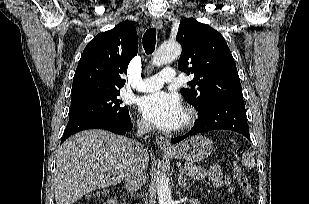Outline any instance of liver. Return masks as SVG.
Returning <instances> with one entry per match:
<instances>
[{"mask_svg":"<svg viewBox=\"0 0 309 204\" xmlns=\"http://www.w3.org/2000/svg\"><path fill=\"white\" fill-rule=\"evenodd\" d=\"M132 156V141L108 131L86 130L70 137L57 150L56 204H74L96 189L121 182Z\"/></svg>","mask_w":309,"mask_h":204,"instance_id":"obj_1","label":"liver"}]
</instances>
